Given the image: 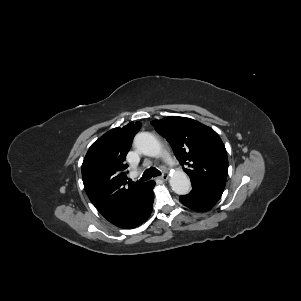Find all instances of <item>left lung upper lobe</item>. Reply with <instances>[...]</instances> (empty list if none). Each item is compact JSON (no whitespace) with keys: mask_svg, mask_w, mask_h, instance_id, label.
Masks as SVG:
<instances>
[{"mask_svg":"<svg viewBox=\"0 0 301 301\" xmlns=\"http://www.w3.org/2000/svg\"><path fill=\"white\" fill-rule=\"evenodd\" d=\"M151 124L170 143L176 158L192 183L223 191L227 179L228 158L219 135L200 122L171 116Z\"/></svg>","mask_w":301,"mask_h":301,"instance_id":"1","label":"left lung upper lobe"}]
</instances>
